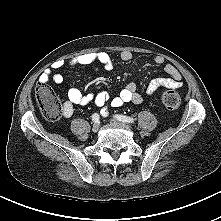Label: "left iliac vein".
Instances as JSON below:
<instances>
[{"label": "left iliac vein", "mask_w": 221, "mask_h": 221, "mask_svg": "<svg viewBox=\"0 0 221 221\" xmlns=\"http://www.w3.org/2000/svg\"><path fill=\"white\" fill-rule=\"evenodd\" d=\"M114 123L118 124V125H121V126H124V127H127V128H130V126H128L126 123L124 122H121V121H117V120H113Z\"/></svg>", "instance_id": "1"}]
</instances>
